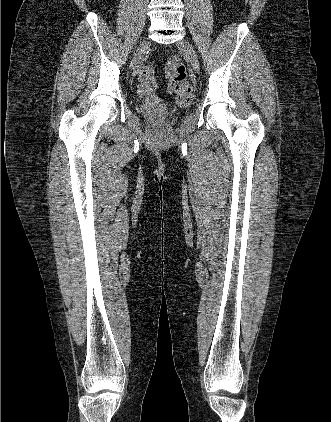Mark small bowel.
<instances>
[{"label": "small bowel", "mask_w": 331, "mask_h": 422, "mask_svg": "<svg viewBox=\"0 0 331 422\" xmlns=\"http://www.w3.org/2000/svg\"><path fill=\"white\" fill-rule=\"evenodd\" d=\"M140 83H139V93L141 96H148L154 89L155 83L153 79H146L141 76L140 71L138 72Z\"/></svg>", "instance_id": "small-bowel-1"}]
</instances>
